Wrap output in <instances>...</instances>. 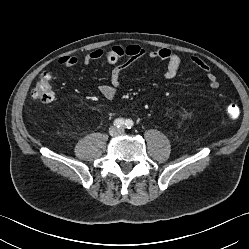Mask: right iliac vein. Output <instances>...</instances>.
Instances as JSON below:
<instances>
[{"instance_id":"right-iliac-vein-1","label":"right iliac vein","mask_w":249,"mask_h":249,"mask_svg":"<svg viewBox=\"0 0 249 249\" xmlns=\"http://www.w3.org/2000/svg\"><path fill=\"white\" fill-rule=\"evenodd\" d=\"M111 133L112 134H116L117 133V129L116 128L111 129Z\"/></svg>"}]
</instances>
